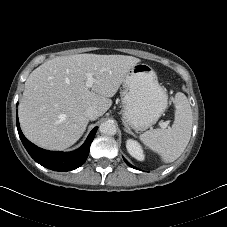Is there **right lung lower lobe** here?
<instances>
[{
  "label": "right lung lower lobe",
  "instance_id": "right-lung-lower-lobe-1",
  "mask_svg": "<svg viewBox=\"0 0 227 227\" xmlns=\"http://www.w3.org/2000/svg\"><path fill=\"white\" fill-rule=\"evenodd\" d=\"M16 123L19 137L29 155L40 165L54 171H71L80 167L89 155L90 145L97 131V127H95L90 132L85 143L77 150L72 152H55L44 150L31 143L23 135L18 117L16 118Z\"/></svg>",
  "mask_w": 227,
  "mask_h": 227
}]
</instances>
